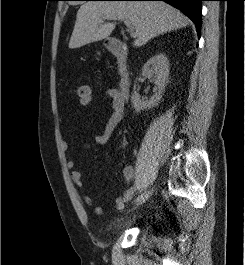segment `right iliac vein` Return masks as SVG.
Here are the masks:
<instances>
[{
	"mask_svg": "<svg viewBox=\"0 0 245 265\" xmlns=\"http://www.w3.org/2000/svg\"><path fill=\"white\" fill-rule=\"evenodd\" d=\"M152 194V191H148L144 193L143 195L139 196L135 201V207H138L139 205L143 204L149 196Z\"/></svg>",
	"mask_w": 245,
	"mask_h": 265,
	"instance_id": "63e3f726",
	"label": "right iliac vein"
}]
</instances>
